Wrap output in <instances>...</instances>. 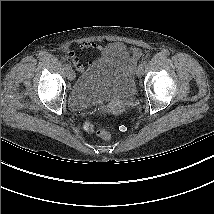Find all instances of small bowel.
Returning <instances> with one entry per match:
<instances>
[{
  "instance_id": "obj_1",
  "label": "small bowel",
  "mask_w": 214,
  "mask_h": 214,
  "mask_svg": "<svg viewBox=\"0 0 214 214\" xmlns=\"http://www.w3.org/2000/svg\"><path fill=\"white\" fill-rule=\"evenodd\" d=\"M79 48L81 50H93L96 51L99 54L103 55H118L121 56L126 63L133 68L135 64L137 63L138 59L141 56V52L136 47L127 48L123 43L120 42H112L108 45H101L96 42H85L82 43ZM68 57H70L73 60V64L77 71L83 72L85 70V65L76 57L74 52H69ZM95 61H89L88 66L95 65Z\"/></svg>"
}]
</instances>
